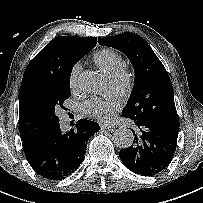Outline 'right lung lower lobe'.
<instances>
[{"instance_id": "right-lung-lower-lobe-1", "label": "right lung lower lobe", "mask_w": 203, "mask_h": 203, "mask_svg": "<svg viewBox=\"0 0 203 203\" xmlns=\"http://www.w3.org/2000/svg\"><path fill=\"white\" fill-rule=\"evenodd\" d=\"M99 130L98 123L86 119L77 121L76 130L66 133L57 124L47 137L23 147L24 153L39 175L62 180L78 169L84 160L88 139Z\"/></svg>"}]
</instances>
